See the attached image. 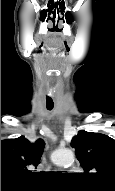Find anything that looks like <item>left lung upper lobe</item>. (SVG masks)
Returning a JSON list of instances; mask_svg holds the SVG:
<instances>
[{
    "label": "left lung upper lobe",
    "instance_id": "left-lung-upper-lobe-1",
    "mask_svg": "<svg viewBox=\"0 0 115 191\" xmlns=\"http://www.w3.org/2000/svg\"><path fill=\"white\" fill-rule=\"evenodd\" d=\"M84 175L107 191H115V140L81 130L71 141Z\"/></svg>",
    "mask_w": 115,
    "mask_h": 191
}]
</instances>
